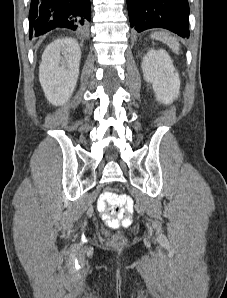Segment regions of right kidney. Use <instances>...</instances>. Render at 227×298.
I'll use <instances>...</instances> for the list:
<instances>
[{
  "mask_svg": "<svg viewBox=\"0 0 227 298\" xmlns=\"http://www.w3.org/2000/svg\"><path fill=\"white\" fill-rule=\"evenodd\" d=\"M81 50L73 38H59L50 43L39 67V80L45 97L53 105L64 104L71 97L79 75Z\"/></svg>",
  "mask_w": 227,
  "mask_h": 298,
  "instance_id": "right-kidney-1",
  "label": "right kidney"
}]
</instances>
